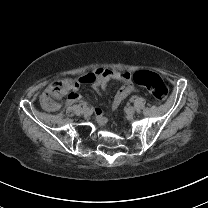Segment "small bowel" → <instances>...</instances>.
Here are the masks:
<instances>
[{
	"label": "small bowel",
	"mask_w": 208,
	"mask_h": 208,
	"mask_svg": "<svg viewBox=\"0 0 208 208\" xmlns=\"http://www.w3.org/2000/svg\"><path fill=\"white\" fill-rule=\"evenodd\" d=\"M110 78L117 79L123 83V86L116 93L110 105L111 109H115L133 91V86L127 74L112 71L110 69L100 66V67H97L94 71L87 73L81 76L80 78H77L74 80L73 79H68V80L71 82L73 90H76L80 85H86V84H93L94 87L98 90L100 88H103L106 84V81ZM76 102H79L78 95L75 93H72L68 97V104L71 105ZM103 113H104V110L100 106L95 107L93 110V115L94 117H96L95 121L97 125H99V127L101 128H105L108 125L107 120H105L102 116Z\"/></svg>",
	"instance_id": "c3829d8e"
}]
</instances>
